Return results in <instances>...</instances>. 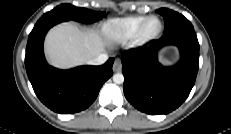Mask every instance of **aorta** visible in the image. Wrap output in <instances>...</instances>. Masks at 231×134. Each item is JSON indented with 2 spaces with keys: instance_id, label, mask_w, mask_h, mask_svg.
I'll use <instances>...</instances> for the list:
<instances>
[{
  "instance_id": "aorta-1",
  "label": "aorta",
  "mask_w": 231,
  "mask_h": 134,
  "mask_svg": "<svg viewBox=\"0 0 231 134\" xmlns=\"http://www.w3.org/2000/svg\"><path fill=\"white\" fill-rule=\"evenodd\" d=\"M113 81L116 84H122L124 82V76L121 73H117L113 75Z\"/></svg>"
}]
</instances>
